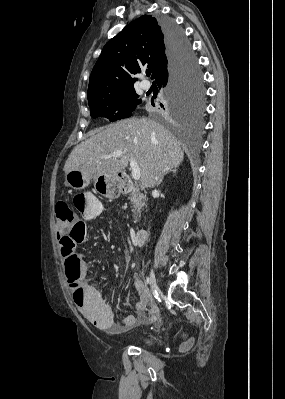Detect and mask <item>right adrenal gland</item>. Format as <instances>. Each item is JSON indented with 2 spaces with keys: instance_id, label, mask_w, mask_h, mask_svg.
<instances>
[{
  "instance_id": "right-adrenal-gland-1",
  "label": "right adrenal gland",
  "mask_w": 285,
  "mask_h": 399,
  "mask_svg": "<svg viewBox=\"0 0 285 399\" xmlns=\"http://www.w3.org/2000/svg\"><path fill=\"white\" fill-rule=\"evenodd\" d=\"M170 172L173 173V174H176V173H177V167H173V168H171V169H169V170L167 171V173H170ZM162 179H163V178L160 179L159 183L162 182Z\"/></svg>"
}]
</instances>
